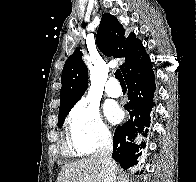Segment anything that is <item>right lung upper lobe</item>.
Instances as JSON below:
<instances>
[{
	"mask_svg": "<svg viewBox=\"0 0 196 182\" xmlns=\"http://www.w3.org/2000/svg\"><path fill=\"white\" fill-rule=\"evenodd\" d=\"M125 29L111 14L104 13L98 28L96 42L103 54L124 57L120 66L123 75L135 67L147 55L142 42L130 33L125 38ZM59 117L68 114L71 108L83 96L88 87V71L82 60V52L76 50L67 59L62 71Z\"/></svg>",
	"mask_w": 196,
	"mask_h": 182,
	"instance_id": "cb5924a9",
	"label": "right lung upper lobe"
}]
</instances>
